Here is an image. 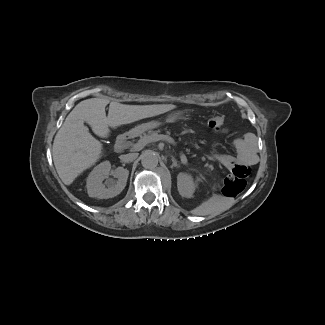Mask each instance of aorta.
Instances as JSON below:
<instances>
[{"instance_id": "obj_1", "label": "aorta", "mask_w": 325, "mask_h": 325, "mask_svg": "<svg viewBox=\"0 0 325 325\" xmlns=\"http://www.w3.org/2000/svg\"><path fill=\"white\" fill-rule=\"evenodd\" d=\"M141 164L146 169H153L158 165V155L156 152L147 150L141 155Z\"/></svg>"}]
</instances>
